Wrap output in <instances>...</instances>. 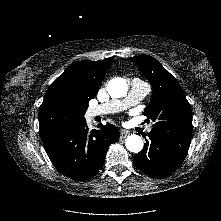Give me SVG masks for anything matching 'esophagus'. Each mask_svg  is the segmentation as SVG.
<instances>
[{
  "label": "esophagus",
  "instance_id": "34e87169",
  "mask_svg": "<svg viewBox=\"0 0 221 221\" xmlns=\"http://www.w3.org/2000/svg\"><path fill=\"white\" fill-rule=\"evenodd\" d=\"M130 133L126 130L121 131V138H126Z\"/></svg>",
  "mask_w": 221,
  "mask_h": 221
}]
</instances>
